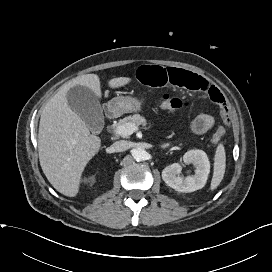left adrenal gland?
I'll return each mask as SVG.
<instances>
[{"label": "left adrenal gland", "instance_id": "left-adrenal-gland-1", "mask_svg": "<svg viewBox=\"0 0 272 272\" xmlns=\"http://www.w3.org/2000/svg\"><path fill=\"white\" fill-rule=\"evenodd\" d=\"M168 146H169V144H164V145H161V148L164 149V148H166Z\"/></svg>", "mask_w": 272, "mask_h": 272}]
</instances>
